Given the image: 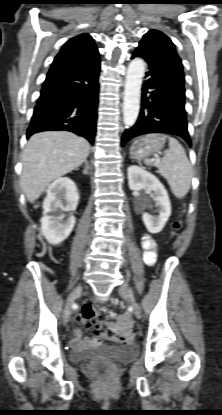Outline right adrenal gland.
I'll use <instances>...</instances> for the list:
<instances>
[{
  "instance_id": "obj_1",
  "label": "right adrenal gland",
  "mask_w": 222,
  "mask_h": 415,
  "mask_svg": "<svg viewBox=\"0 0 222 415\" xmlns=\"http://www.w3.org/2000/svg\"><path fill=\"white\" fill-rule=\"evenodd\" d=\"M87 171H88V163L85 162V170H84V172H87Z\"/></svg>"
}]
</instances>
